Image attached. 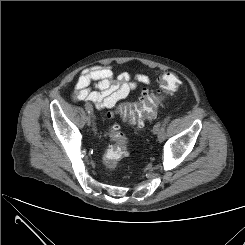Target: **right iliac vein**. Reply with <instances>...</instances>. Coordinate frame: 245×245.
Wrapping results in <instances>:
<instances>
[{
    "instance_id": "obj_1",
    "label": "right iliac vein",
    "mask_w": 245,
    "mask_h": 245,
    "mask_svg": "<svg viewBox=\"0 0 245 245\" xmlns=\"http://www.w3.org/2000/svg\"><path fill=\"white\" fill-rule=\"evenodd\" d=\"M85 108H92V105L90 103H86L85 104ZM86 123H87L88 126H91V124H92V118H91L90 115L86 117Z\"/></svg>"
}]
</instances>
